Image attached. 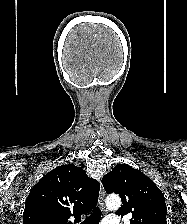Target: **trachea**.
I'll return each instance as SVG.
<instances>
[{"label": "trachea", "instance_id": "trachea-1", "mask_svg": "<svg viewBox=\"0 0 187 224\" xmlns=\"http://www.w3.org/2000/svg\"><path fill=\"white\" fill-rule=\"evenodd\" d=\"M102 212L96 207L92 213L82 222V224H99Z\"/></svg>", "mask_w": 187, "mask_h": 224}]
</instances>
